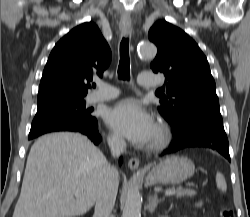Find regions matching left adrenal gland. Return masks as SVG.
Returning <instances> with one entry per match:
<instances>
[{"label":"left adrenal gland","mask_w":250,"mask_h":217,"mask_svg":"<svg viewBox=\"0 0 250 217\" xmlns=\"http://www.w3.org/2000/svg\"><path fill=\"white\" fill-rule=\"evenodd\" d=\"M162 199H158L157 198V193L155 192L150 198H149V203H148V210L149 212H154L158 203L161 201Z\"/></svg>","instance_id":"left-adrenal-gland-1"}]
</instances>
